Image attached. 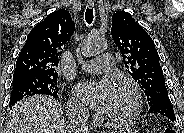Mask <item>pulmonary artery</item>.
Masks as SVG:
<instances>
[{
	"label": "pulmonary artery",
	"instance_id": "pulmonary-artery-1",
	"mask_svg": "<svg viewBox=\"0 0 184 133\" xmlns=\"http://www.w3.org/2000/svg\"><path fill=\"white\" fill-rule=\"evenodd\" d=\"M113 65V56L111 54H101L98 58L81 63L80 67L90 73H103L109 70Z\"/></svg>",
	"mask_w": 184,
	"mask_h": 133
}]
</instances>
